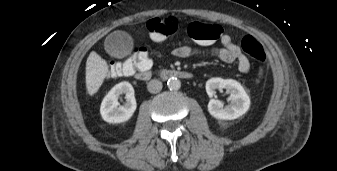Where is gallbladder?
Instances as JSON below:
<instances>
[{
	"mask_svg": "<svg viewBox=\"0 0 337 171\" xmlns=\"http://www.w3.org/2000/svg\"><path fill=\"white\" fill-rule=\"evenodd\" d=\"M105 49L114 57H124L132 50V39L125 32H114L106 38Z\"/></svg>",
	"mask_w": 337,
	"mask_h": 171,
	"instance_id": "gallbladder-1",
	"label": "gallbladder"
}]
</instances>
